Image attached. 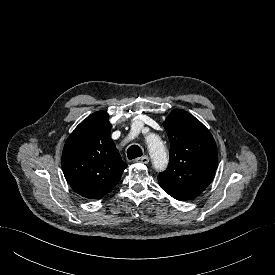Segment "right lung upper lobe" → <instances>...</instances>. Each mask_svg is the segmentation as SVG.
<instances>
[{
  "mask_svg": "<svg viewBox=\"0 0 275 275\" xmlns=\"http://www.w3.org/2000/svg\"><path fill=\"white\" fill-rule=\"evenodd\" d=\"M110 131L108 113L97 111L76 127L64 145L61 158L64 176L83 197H103L120 181L127 167Z\"/></svg>",
  "mask_w": 275,
  "mask_h": 275,
  "instance_id": "right-lung-upper-lobe-1",
  "label": "right lung upper lobe"
}]
</instances>
